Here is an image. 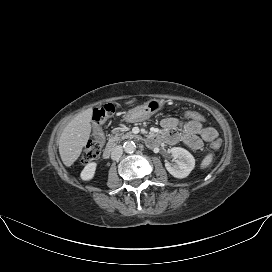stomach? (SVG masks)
Here are the masks:
<instances>
[{
    "mask_svg": "<svg viewBox=\"0 0 272 272\" xmlns=\"http://www.w3.org/2000/svg\"><path fill=\"white\" fill-rule=\"evenodd\" d=\"M165 105L162 99H150L143 105L137 106L129 110L125 116V121L129 123L142 122L149 119L153 114L161 110Z\"/></svg>",
    "mask_w": 272,
    "mask_h": 272,
    "instance_id": "0dacf381",
    "label": "stomach"
}]
</instances>
